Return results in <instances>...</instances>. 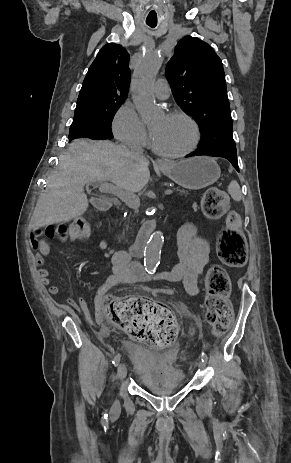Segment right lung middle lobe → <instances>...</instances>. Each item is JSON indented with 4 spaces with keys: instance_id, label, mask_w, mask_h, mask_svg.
<instances>
[{
    "instance_id": "obj_1",
    "label": "right lung middle lobe",
    "mask_w": 291,
    "mask_h": 463,
    "mask_svg": "<svg viewBox=\"0 0 291 463\" xmlns=\"http://www.w3.org/2000/svg\"><path fill=\"white\" fill-rule=\"evenodd\" d=\"M123 101H109L91 112L74 116L69 130L70 140L77 138L111 139V124Z\"/></svg>"
}]
</instances>
